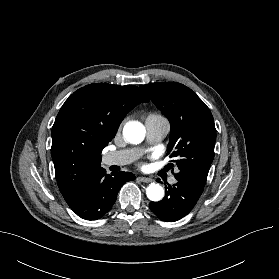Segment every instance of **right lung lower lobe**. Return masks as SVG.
Returning a JSON list of instances; mask_svg holds the SVG:
<instances>
[{
	"label": "right lung lower lobe",
	"instance_id": "obj_1",
	"mask_svg": "<svg viewBox=\"0 0 279 279\" xmlns=\"http://www.w3.org/2000/svg\"><path fill=\"white\" fill-rule=\"evenodd\" d=\"M135 179L130 172L106 174L102 167L96 170L89 178L69 207L85 220H96L103 217L113 206L119 189L127 182Z\"/></svg>",
	"mask_w": 279,
	"mask_h": 279
}]
</instances>
